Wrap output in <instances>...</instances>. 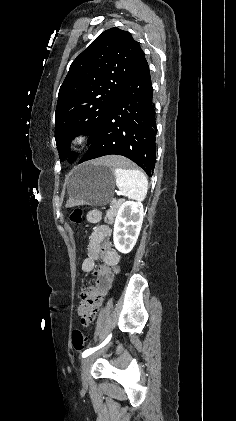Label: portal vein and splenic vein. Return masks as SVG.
Returning <instances> with one entry per match:
<instances>
[{
  "label": "portal vein and splenic vein",
  "mask_w": 236,
  "mask_h": 421,
  "mask_svg": "<svg viewBox=\"0 0 236 421\" xmlns=\"http://www.w3.org/2000/svg\"><path fill=\"white\" fill-rule=\"evenodd\" d=\"M120 194H121V193H120V192H118V193H117V197H120Z\"/></svg>",
  "instance_id": "1"
}]
</instances>
